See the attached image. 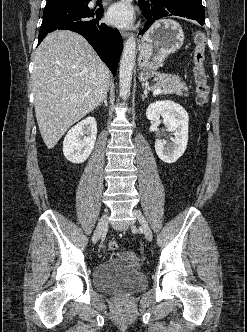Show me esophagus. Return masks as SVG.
Segmentation results:
<instances>
[{"mask_svg": "<svg viewBox=\"0 0 247 332\" xmlns=\"http://www.w3.org/2000/svg\"><path fill=\"white\" fill-rule=\"evenodd\" d=\"M121 35H122L123 39H126V38L129 36V32H127V31H122V32H121Z\"/></svg>", "mask_w": 247, "mask_h": 332, "instance_id": "esophagus-1", "label": "esophagus"}]
</instances>
